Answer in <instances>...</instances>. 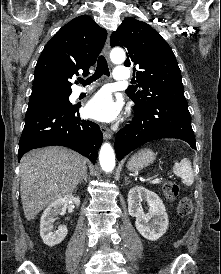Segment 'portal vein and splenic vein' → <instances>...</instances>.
I'll use <instances>...</instances> for the list:
<instances>
[{
    "mask_svg": "<svg viewBox=\"0 0 221 274\" xmlns=\"http://www.w3.org/2000/svg\"><path fill=\"white\" fill-rule=\"evenodd\" d=\"M160 182V179L159 178H155L151 181V183L155 184V183H159Z\"/></svg>",
    "mask_w": 221,
    "mask_h": 274,
    "instance_id": "1",
    "label": "portal vein and splenic vein"
}]
</instances>
